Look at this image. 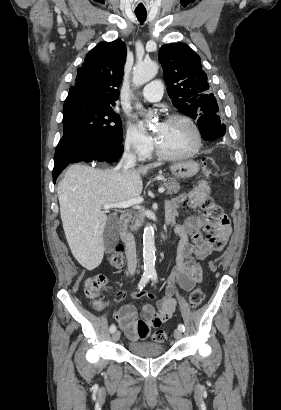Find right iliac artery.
<instances>
[{
    "mask_svg": "<svg viewBox=\"0 0 281 410\" xmlns=\"http://www.w3.org/2000/svg\"><path fill=\"white\" fill-rule=\"evenodd\" d=\"M150 277L151 276L149 274H143V276L141 277V280L138 284V289H142L148 283ZM109 330H110L111 333L115 332V330H116L115 324H112L110 326Z\"/></svg>",
    "mask_w": 281,
    "mask_h": 410,
    "instance_id": "obj_1",
    "label": "right iliac artery"
}]
</instances>
